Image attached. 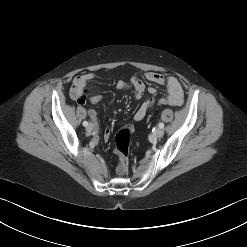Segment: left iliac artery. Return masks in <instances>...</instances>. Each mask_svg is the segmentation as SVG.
Listing matches in <instances>:
<instances>
[{"mask_svg": "<svg viewBox=\"0 0 247 247\" xmlns=\"http://www.w3.org/2000/svg\"><path fill=\"white\" fill-rule=\"evenodd\" d=\"M159 127L160 128H164V124L161 122V123H159Z\"/></svg>", "mask_w": 247, "mask_h": 247, "instance_id": "obj_1", "label": "left iliac artery"}]
</instances>
